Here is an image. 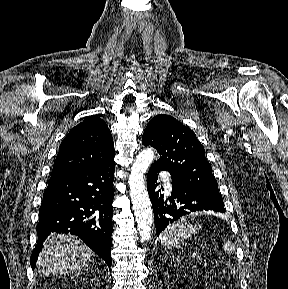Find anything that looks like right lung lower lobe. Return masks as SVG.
Listing matches in <instances>:
<instances>
[{"instance_id": "98d812e1", "label": "right lung lower lobe", "mask_w": 288, "mask_h": 289, "mask_svg": "<svg viewBox=\"0 0 288 289\" xmlns=\"http://www.w3.org/2000/svg\"><path fill=\"white\" fill-rule=\"evenodd\" d=\"M114 170L113 158L90 170L50 178L39 209V238L31 255L32 268L43 242L53 232L77 235L110 268Z\"/></svg>"}]
</instances>
